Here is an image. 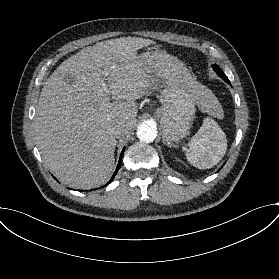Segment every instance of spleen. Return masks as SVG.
Returning a JSON list of instances; mask_svg holds the SVG:
<instances>
[{"mask_svg":"<svg viewBox=\"0 0 279 279\" xmlns=\"http://www.w3.org/2000/svg\"><path fill=\"white\" fill-rule=\"evenodd\" d=\"M202 112L222 120L224 117L221 104L217 98L205 87L197 102ZM227 138L216 122L205 118L199 130L184 147L185 156L189 163L199 169H207L216 165L225 155Z\"/></svg>","mask_w":279,"mask_h":279,"instance_id":"spleen-1","label":"spleen"}]
</instances>
